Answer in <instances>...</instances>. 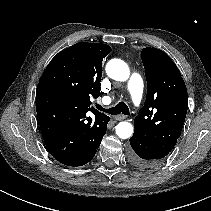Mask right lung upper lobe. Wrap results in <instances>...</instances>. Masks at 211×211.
<instances>
[{"mask_svg":"<svg viewBox=\"0 0 211 211\" xmlns=\"http://www.w3.org/2000/svg\"><path fill=\"white\" fill-rule=\"evenodd\" d=\"M110 52L111 48L107 44L76 43L59 52L51 60L38 84L47 85L43 82V78L55 67L64 75L65 83L75 90L76 97L89 107L91 105L90 97L100 96L102 61ZM92 109L98 112L94 108Z\"/></svg>","mask_w":211,"mask_h":211,"instance_id":"1","label":"right lung upper lobe"}]
</instances>
